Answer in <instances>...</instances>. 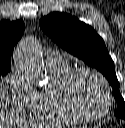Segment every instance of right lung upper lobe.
Listing matches in <instances>:
<instances>
[{
  "label": "right lung upper lobe",
  "mask_w": 125,
  "mask_h": 128,
  "mask_svg": "<svg viewBox=\"0 0 125 128\" xmlns=\"http://www.w3.org/2000/svg\"><path fill=\"white\" fill-rule=\"evenodd\" d=\"M24 23L22 20L0 22V63L11 64V53L15 44L22 37Z\"/></svg>",
  "instance_id": "right-lung-upper-lobe-1"
}]
</instances>
